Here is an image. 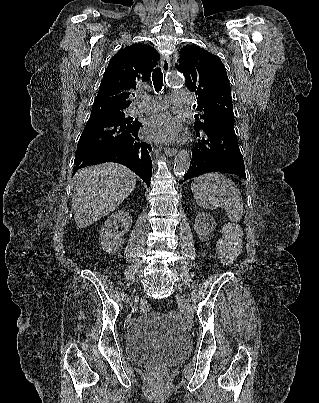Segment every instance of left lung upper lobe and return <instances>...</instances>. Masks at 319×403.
Listing matches in <instances>:
<instances>
[{
	"mask_svg": "<svg viewBox=\"0 0 319 403\" xmlns=\"http://www.w3.org/2000/svg\"><path fill=\"white\" fill-rule=\"evenodd\" d=\"M176 68L183 72L186 87L198 94L195 128L203 129L219 119L234 118L230 84L222 61L212 53L198 47L187 46L180 50Z\"/></svg>",
	"mask_w": 319,
	"mask_h": 403,
	"instance_id": "1",
	"label": "left lung upper lobe"
}]
</instances>
